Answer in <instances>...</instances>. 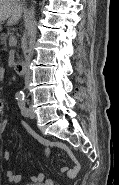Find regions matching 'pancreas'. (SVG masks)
I'll use <instances>...</instances> for the list:
<instances>
[{
    "instance_id": "1",
    "label": "pancreas",
    "mask_w": 119,
    "mask_h": 185,
    "mask_svg": "<svg viewBox=\"0 0 119 185\" xmlns=\"http://www.w3.org/2000/svg\"><path fill=\"white\" fill-rule=\"evenodd\" d=\"M12 36H13V33L10 32V31H8L7 33L2 34V36H1L2 44H6L8 37H12Z\"/></svg>"
}]
</instances>
